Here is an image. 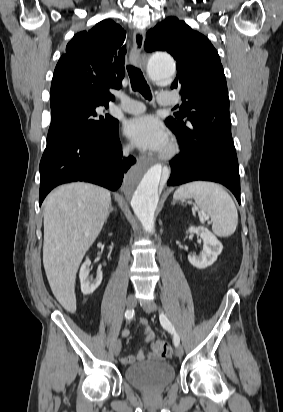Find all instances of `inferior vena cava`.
Listing matches in <instances>:
<instances>
[{"label":"inferior vena cava","instance_id":"obj_1","mask_svg":"<svg viewBox=\"0 0 283 412\" xmlns=\"http://www.w3.org/2000/svg\"><path fill=\"white\" fill-rule=\"evenodd\" d=\"M130 150H131L130 147L125 148V149L123 150L124 155H128L129 152H130Z\"/></svg>","mask_w":283,"mask_h":412}]
</instances>
